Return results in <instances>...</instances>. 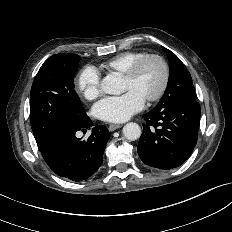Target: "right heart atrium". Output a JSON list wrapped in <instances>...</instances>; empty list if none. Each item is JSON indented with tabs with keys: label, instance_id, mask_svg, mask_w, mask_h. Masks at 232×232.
Listing matches in <instances>:
<instances>
[{
	"label": "right heart atrium",
	"instance_id": "obj_1",
	"mask_svg": "<svg viewBox=\"0 0 232 232\" xmlns=\"http://www.w3.org/2000/svg\"><path fill=\"white\" fill-rule=\"evenodd\" d=\"M100 80L99 71L93 66H86L77 76V90L85 99L92 100L100 93Z\"/></svg>",
	"mask_w": 232,
	"mask_h": 232
}]
</instances>
